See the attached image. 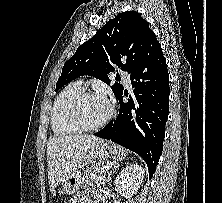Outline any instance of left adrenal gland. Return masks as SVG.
I'll use <instances>...</instances> for the list:
<instances>
[{"label": "left adrenal gland", "instance_id": "obj_1", "mask_svg": "<svg viewBox=\"0 0 222 203\" xmlns=\"http://www.w3.org/2000/svg\"><path fill=\"white\" fill-rule=\"evenodd\" d=\"M119 166H121V164H116V165H114L113 168H112V170H110V171L108 172V177H107V180H106L107 182H109V181L111 180L112 172H114V170L117 169Z\"/></svg>", "mask_w": 222, "mask_h": 203}]
</instances>
